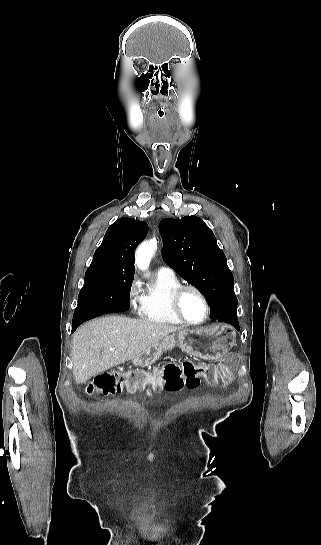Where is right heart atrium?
<instances>
[{
  "label": "right heart atrium",
  "instance_id": "d8ad5b80",
  "mask_svg": "<svg viewBox=\"0 0 321 545\" xmlns=\"http://www.w3.org/2000/svg\"><path fill=\"white\" fill-rule=\"evenodd\" d=\"M128 300L131 306L136 309L142 301V291L139 281L136 278H132L127 288Z\"/></svg>",
  "mask_w": 321,
  "mask_h": 545
}]
</instances>
